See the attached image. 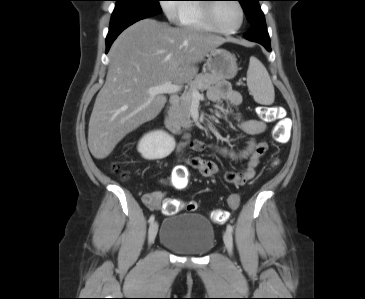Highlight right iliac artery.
<instances>
[{"instance_id":"82829eb1","label":"right iliac artery","mask_w":365,"mask_h":299,"mask_svg":"<svg viewBox=\"0 0 365 299\" xmlns=\"http://www.w3.org/2000/svg\"><path fill=\"white\" fill-rule=\"evenodd\" d=\"M155 220V217L154 215H151L150 218H149V223L152 224Z\"/></svg>"}]
</instances>
